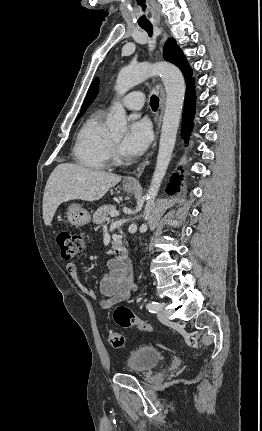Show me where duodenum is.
Returning <instances> with one entry per match:
<instances>
[{"instance_id":"duodenum-1","label":"duodenum","mask_w":262,"mask_h":431,"mask_svg":"<svg viewBox=\"0 0 262 431\" xmlns=\"http://www.w3.org/2000/svg\"><path fill=\"white\" fill-rule=\"evenodd\" d=\"M119 257H120V259H122L123 261H126L127 262V260H128V252H127V250L126 249H121L120 251H119Z\"/></svg>"}]
</instances>
